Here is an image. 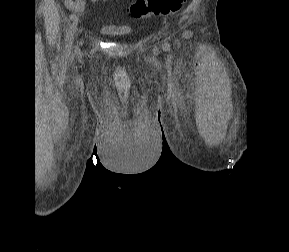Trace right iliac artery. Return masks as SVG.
<instances>
[{"label":"right iliac artery","mask_w":289,"mask_h":252,"mask_svg":"<svg viewBox=\"0 0 289 252\" xmlns=\"http://www.w3.org/2000/svg\"><path fill=\"white\" fill-rule=\"evenodd\" d=\"M72 24L70 25L67 35H66V49L69 50L72 46V41L74 37V33L76 31V26H77V20L72 17Z\"/></svg>","instance_id":"82829eb1"}]
</instances>
